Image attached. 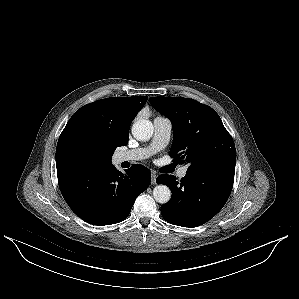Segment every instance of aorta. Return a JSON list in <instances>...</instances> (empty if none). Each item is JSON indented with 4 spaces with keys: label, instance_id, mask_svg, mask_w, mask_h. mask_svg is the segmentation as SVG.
Returning <instances> with one entry per match:
<instances>
[{
    "label": "aorta",
    "instance_id": "aorta-1",
    "mask_svg": "<svg viewBox=\"0 0 299 299\" xmlns=\"http://www.w3.org/2000/svg\"><path fill=\"white\" fill-rule=\"evenodd\" d=\"M154 127L151 121L137 120L132 126V134L139 141H147L153 135ZM153 197L156 202L165 204L171 198V191L166 185L160 184L153 189Z\"/></svg>",
    "mask_w": 299,
    "mask_h": 299
}]
</instances>
